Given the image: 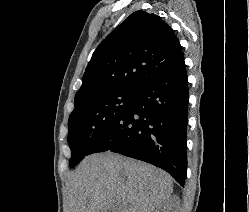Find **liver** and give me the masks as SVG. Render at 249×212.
I'll list each match as a JSON object with an SVG mask.
<instances>
[{"label": "liver", "instance_id": "obj_1", "mask_svg": "<svg viewBox=\"0 0 249 212\" xmlns=\"http://www.w3.org/2000/svg\"><path fill=\"white\" fill-rule=\"evenodd\" d=\"M67 212H154L169 210L171 176L145 162L105 152L92 154L69 174Z\"/></svg>", "mask_w": 249, "mask_h": 212}]
</instances>
